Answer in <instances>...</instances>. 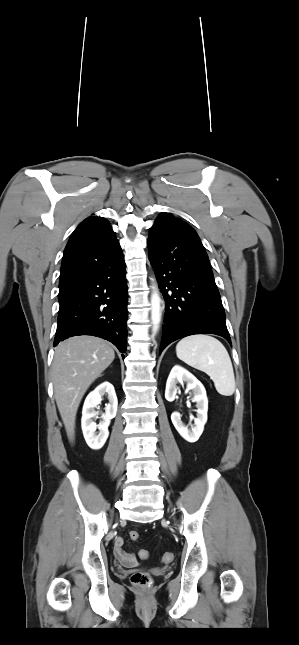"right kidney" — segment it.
<instances>
[{
	"label": "right kidney",
	"instance_id": "obj_1",
	"mask_svg": "<svg viewBox=\"0 0 299 645\" xmlns=\"http://www.w3.org/2000/svg\"><path fill=\"white\" fill-rule=\"evenodd\" d=\"M108 394L109 403L106 404L105 414H102V421L99 425L93 421V418L99 413L94 410L102 401V396ZM118 401L114 387L109 382H104L95 388L86 397L83 410L81 426L86 443L92 449H100L105 444L109 431L111 419L116 416ZM99 430L97 432L96 430Z\"/></svg>",
	"mask_w": 299,
	"mask_h": 645
}]
</instances>
